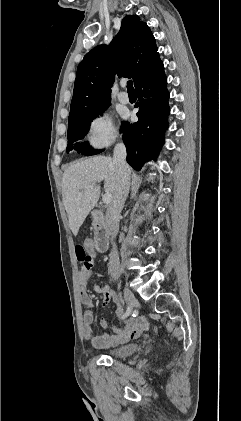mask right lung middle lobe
<instances>
[{"instance_id": "right-lung-middle-lobe-1", "label": "right lung middle lobe", "mask_w": 241, "mask_h": 421, "mask_svg": "<svg viewBox=\"0 0 241 421\" xmlns=\"http://www.w3.org/2000/svg\"><path fill=\"white\" fill-rule=\"evenodd\" d=\"M108 108V107H107ZM103 109L93 114H89L86 116L78 117L75 119H71L68 121V145H67V152L70 150H76L78 153H82L86 156L94 155L100 153V151H95L89 147L87 142L80 143L78 141L82 140L88 133L90 123L95 119L98 115H102V113L107 109ZM122 122V127H123ZM121 127V131H122Z\"/></svg>"}]
</instances>
